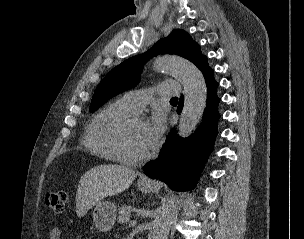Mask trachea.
<instances>
[{
  "mask_svg": "<svg viewBox=\"0 0 304 239\" xmlns=\"http://www.w3.org/2000/svg\"><path fill=\"white\" fill-rule=\"evenodd\" d=\"M170 101H172V102H177V101H178V98H177V97H173V98H171Z\"/></svg>",
  "mask_w": 304,
  "mask_h": 239,
  "instance_id": "3493384b",
  "label": "trachea"
}]
</instances>
